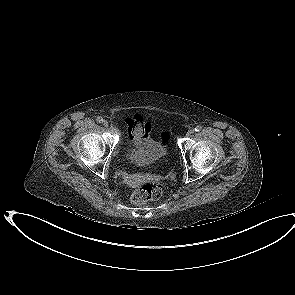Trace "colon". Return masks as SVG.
I'll list each match as a JSON object with an SVG mask.
<instances>
[{
	"instance_id": "colon-1",
	"label": "colon",
	"mask_w": 295,
	"mask_h": 295,
	"mask_svg": "<svg viewBox=\"0 0 295 295\" xmlns=\"http://www.w3.org/2000/svg\"><path fill=\"white\" fill-rule=\"evenodd\" d=\"M165 142L169 139V134L164 133ZM163 184L159 180H150L141 184L132 194L131 200L137 205L144 204L148 201L157 200L162 196Z\"/></svg>"
}]
</instances>
